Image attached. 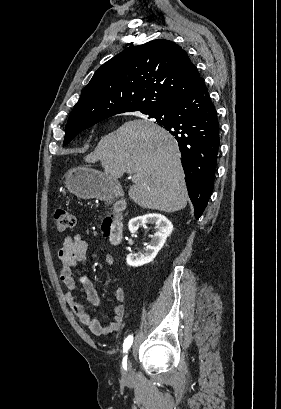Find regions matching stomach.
<instances>
[{"mask_svg":"<svg viewBox=\"0 0 281 409\" xmlns=\"http://www.w3.org/2000/svg\"><path fill=\"white\" fill-rule=\"evenodd\" d=\"M65 186L70 192L79 198H100V200H112L118 198L121 184L117 178H110L105 172L76 166L65 174Z\"/></svg>","mask_w":281,"mask_h":409,"instance_id":"stomach-1","label":"stomach"}]
</instances>
